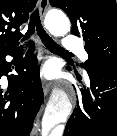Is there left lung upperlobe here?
Segmentation results:
<instances>
[{
    "instance_id": "left-lung-upper-lobe-1",
    "label": "left lung upper lobe",
    "mask_w": 117,
    "mask_h": 136,
    "mask_svg": "<svg viewBox=\"0 0 117 136\" xmlns=\"http://www.w3.org/2000/svg\"><path fill=\"white\" fill-rule=\"evenodd\" d=\"M52 7L62 9L72 23L71 33L84 38L92 63H117V7L115 0H49Z\"/></svg>"
}]
</instances>
